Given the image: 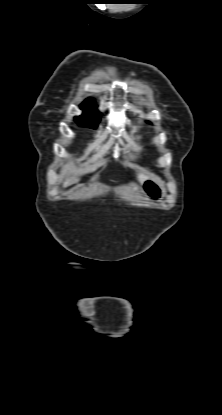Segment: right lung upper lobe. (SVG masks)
Instances as JSON below:
<instances>
[{
  "label": "right lung upper lobe",
  "instance_id": "obj_1",
  "mask_svg": "<svg viewBox=\"0 0 222 415\" xmlns=\"http://www.w3.org/2000/svg\"><path fill=\"white\" fill-rule=\"evenodd\" d=\"M80 107L83 109V110H86V111H90V112H98L97 111V109H96V105H95V102H94V100L93 99H91V98H88V99H86L81 105H80Z\"/></svg>",
  "mask_w": 222,
  "mask_h": 415
}]
</instances>
